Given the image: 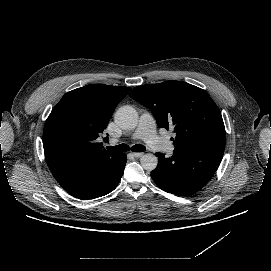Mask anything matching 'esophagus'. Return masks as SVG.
I'll list each match as a JSON object with an SVG mask.
<instances>
[{"label": "esophagus", "mask_w": 271, "mask_h": 271, "mask_svg": "<svg viewBox=\"0 0 271 271\" xmlns=\"http://www.w3.org/2000/svg\"><path fill=\"white\" fill-rule=\"evenodd\" d=\"M132 155H133L135 158H141V157L144 155V153H142V152H134V153H132Z\"/></svg>", "instance_id": "esophagus-1"}]
</instances>
